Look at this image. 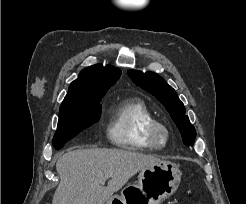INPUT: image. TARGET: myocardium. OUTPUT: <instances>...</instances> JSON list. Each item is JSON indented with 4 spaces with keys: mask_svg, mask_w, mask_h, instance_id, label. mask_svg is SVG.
Segmentation results:
<instances>
[{
    "mask_svg": "<svg viewBox=\"0 0 246 204\" xmlns=\"http://www.w3.org/2000/svg\"><path fill=\"white\" fill-rule=\"evenodd\" d=\"M146 139L154 148H164L170 140V129L168 126L160 121L152 122L145 133Z\"/></svg>",
    "mask_w": 246,
    "mask_h": 204,
    "instance_id": "obj_1",
    "label": "myocardium"
}]
</instances>
